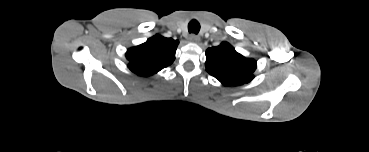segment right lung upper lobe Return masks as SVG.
<instances>
[{
    "mask_svg": "<svg viewBox=\"0 0 369 152\" xmlns=\"http://www.w3.org/2000/svg\"><path fill=\"white\" fill-rule=\"evenodd\" d=\"M177 40L155 35L145 43L128 49L129 69L139 76H150L170 65L175 59Z\"/></svg>",
    "mask_w": 369,
    "mask_h": 152,
    "instance_id": "cb5924a9",
    "label": "right lung upper lobe"
}]
</instances>
